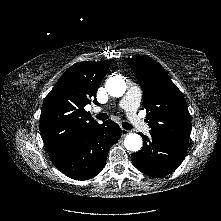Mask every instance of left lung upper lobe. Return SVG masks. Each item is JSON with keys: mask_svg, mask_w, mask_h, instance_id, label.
<instances>
[{"mask_svg": "<svg viewBox=\"0 0 221 221\" xmlns=\"http://www.w3.org/2000/svg\"><path fill=\"white\" fill-rule=\"evenodd\" d=\"M143 89V106L150 133L189 142L191 117L177 86L155 60L147 56L126 59Z\"/></svg>", "mask_w": 221, "mask_h": 221, "instance_id": "obj_1", "label": "left lung upper lobe"}]
</instances>
